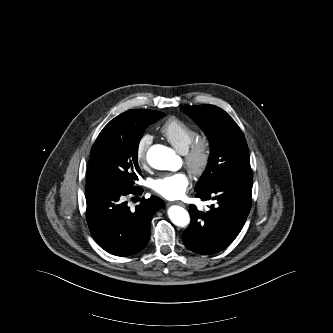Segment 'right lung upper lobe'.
<instances>
[{"label": "right lung upper lobe", "instance_id": "cb5924a9", "mask_svg": "<svg viewBox=\"0 0 333 333\" xmlns=\"http://www.w3.org/2000/svg\"><path fill=\"white\" fill-rule=\"evenodd\" d=\"M128 111L122 113L121 115L117 116L116 118H114L112 121L116 122V121H121L122 118L124 117V115L127 113Z\"/></svg>", "mask_w": 333, "mask_h": 333}]
</instances>
